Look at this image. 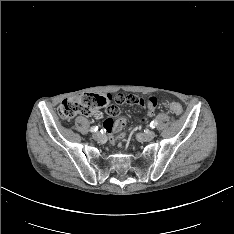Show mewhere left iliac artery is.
I'll list each match as a JSON object with an SVG mask.
<instances>
[{
	"label": "left iliac artery",
	"instance_id": "left-iliac-artery-1",
	"mask_svg": "<svg viewBox=\"0 0 234 234\" xmlns=\"http://www.w3.org/2000/svg\"><path fill=\"white\" fill-rule=\"evenodd\" d=\"M158 125V122L156 120H153L151 123H150V127L153 129L155 128L156 126Z\"/></svg>",
	"mask_w": 234,
	"mask_h": 234
}]
</instances>
